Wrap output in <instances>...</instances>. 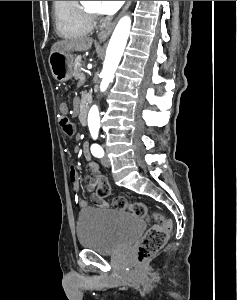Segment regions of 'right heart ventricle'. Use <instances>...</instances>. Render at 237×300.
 <instances>
[{"label": "right heart ventricle", "mask_w": 237, "mask_h": 300, "mask_svg": "<svg viewBox=\"0 0 237 300\" xmlns=\"http://www.w3.org/2000/svg\"><path fill=\"white\" fill-rule=\"evenodd\" d=\"M53 14L57 33L62 37L87 35L94 26L78 1H53Z\"/></svg>", "instance_id": "1"}]
</instances>
